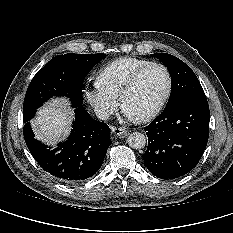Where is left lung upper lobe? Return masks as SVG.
<instances>
[{
  "instance_id": "left-lung-upper-lobe-1",
  "label": "left lung upper lobe",
  "mask_w": 233,
  "mask_h": 233,
  "mask_svg": "<svg viewBox=\"0 0 233 233\" xmlns=\"http://www.w3.org/2000/svg\"><path fill=\"white\" fill-rule=\"evenodd\" d=\"M171 75V94L166 107L187 100L207 101L203 88L191 68L177 57L167 53L152 54Z\"/></svg>"
}]
</instances>
